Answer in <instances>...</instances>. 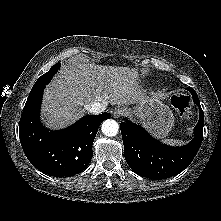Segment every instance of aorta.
I'll list each match as a JSON object with an SVG mask.
<instances>
[{
  "mask_svg": "<svg viewBox=\"0 0 221 221\" xmlns=\"http://www.w3.org/2000/svg\"><path fill=\"white\" fill-rule=\"evenodd\" d=\"M101 130L105 136L113 137L117 135L119 131V125L115 120L107 119L103 121Z\"/></svg>",
  "mask_w": 221,
  "mask_h": 221,
  "instance_id": "aorta-1",
  "label": "aorta"
}]
</instances>
